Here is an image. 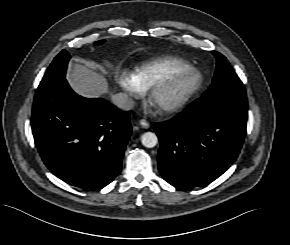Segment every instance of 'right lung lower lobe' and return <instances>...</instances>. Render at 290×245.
<instances>
[{"instance_id":"obj_1","label":"right lung lower lobe","mask_w":290,"mask_h":245,"mask_svg":"<svg viewBox=\"0 0 290 245\" xmlns=\"http://www.w3.org/2000/svg\"><path fill=\"white\" fill-rule=\"evenodd\" d=\"M129 113L77 95L66 79L38 87L31 126L48 169L80 188L100 189L120 173L131 135Z\"/></svg>"}]
</instances>
